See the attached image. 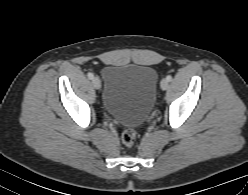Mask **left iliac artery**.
<instances>
[{
    "label": "left iliac artery",
    "instance_id": "44dca946",
    "mask_svg": "<svg viewBox=\"0 0 248 195\" xmlns=\"http://www.w3.org/2000/svg\"><path fill=\"white\" fill-rule=\"evenodd\" d=\"M166 79H167L168 81H171V80H172V76H171V75H168V76L166 77Z\"/></svg>",
    "mask_w": 248,
    "mask_h": 195
}]
</instances>
